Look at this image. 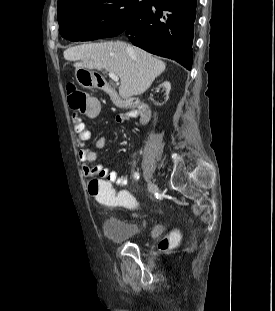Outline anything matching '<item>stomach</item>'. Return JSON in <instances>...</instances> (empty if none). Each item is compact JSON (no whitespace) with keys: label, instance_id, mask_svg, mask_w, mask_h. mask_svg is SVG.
Segmentation results:
<instances>
[{"label":"stomach","instance_id":"stomach-1","mask_svg":"<svg viewBox=\"0 0 275 311\" xmlns=\"http://www.w3.org/2000/svg\"><path fill=\"white\" fill-rule=\"evenodd\" d=\"M75 77L77 82L85 88H92L97 85L93 82L95 75H92V71L90 69L77 68L75 71Z\"/></svg>","mask_w":275,"mask_h":311}]
</instances>
